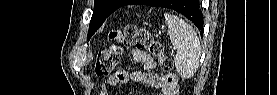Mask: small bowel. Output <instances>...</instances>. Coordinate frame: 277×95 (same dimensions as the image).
Returning a JSON list of instances; mask_svg holds the SVG:
<instances>
[{
    "label": "small bowel",
    "instance_id": "obj_1",
    "mask_svg": "<svg viewBox=\"0 0 277 95\" xmlns=\"http://www.w3.org/2000/svg\"><path fill=\"white\" fill-rule=\"evenodd\" d=\"M132 57L135 62L143 67V71L134 73L131 78L136 82H141L147 85H160L162 95H176L177 78L174 76L159 77L155 73L156 62L153 57L146 51L133 50ZM129 74L126 70H118L115 74L109 76L106 82L110 86H116L128 80ZM101 95H109V90L106 84L101 85Z\"/></svg>",
    "mask_w": 277,
    "mask_h": 95
}]
</instances>
